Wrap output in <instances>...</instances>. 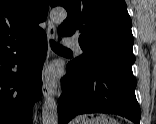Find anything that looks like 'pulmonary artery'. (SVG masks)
<instances>
[{
  "label": "pulmonary artery",
  "instance_id": "pulmonary-artery-1",
  "mask_svg": "<svg viewBox=\"0 0 156 124\" xmlns=\"http://www.w3.org/2000/svg\"><path fill=\"white\" fill-rule=\"evenodd\" d=\"M65 45L73 48L78 54L82 53V49L76 38H68L65 40Z\"/></svg>",
  "mask_w": 156,
  "mask_h": 124
}]
</instances>
